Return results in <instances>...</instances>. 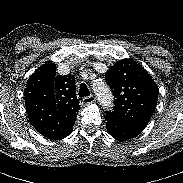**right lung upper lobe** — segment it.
<instances>
[{
    "instance_id": "cb5924a9",
    "label": "right lung upper lobe",
    "mask_w": 183,
    "mask_h": 183,
    "mask_svg": "<svg viewBox=\"0 0 183 183\" xmlns=\"http://www.w3.org/2000/svg\"><path fill=\"white\" fill-rule=\"evenodd\" d=\"M28 117L44 137L60 140L72 132L78 110L75 79L56 75V66L48 62L29 78L24 91Z\"/></svg>"
}]
</instances>
